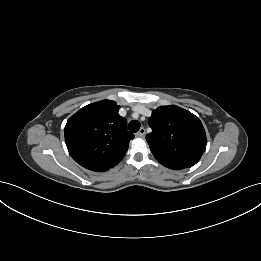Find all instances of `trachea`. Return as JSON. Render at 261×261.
Segmentation results:
<instances>
[{"mask_svg":"<svg viewBox=\"0 0 261 261\" xmlns=\"http://www.w3.org/2000/svg\"><path fill=\"white\" fill-rule=\"evenodd\" d=\"M128 128L130 132L136 133L140 129V122L137 120H132L130 121Z\"/></svg>","mask_w":261,"mask_h":261,"instance_id":"1","label":"trachea"}]
</instances>
